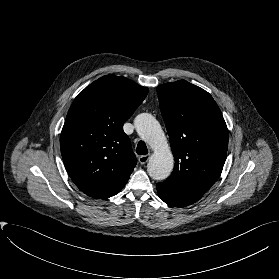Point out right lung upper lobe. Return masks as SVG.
<instances>
[{
	"mask_svg": "<svg viewBox=\"0 0 279 279\" xmlns=\"http://www.w3.org/2000/svg\"><path fill=\"white\" fill-rule=\"evenodd\" d=\"M148 89L115 75L86 87L73 101L61 133V154L76 186L88 196L116 195L137 163L123 124Z\"/></svg>",
	"mask_w": 279,
	"mask_h": 279,
	"instance_id": "right-lung-upper-lobe-1",
	"label": "right lung upper lobe"
}]
</instances>
